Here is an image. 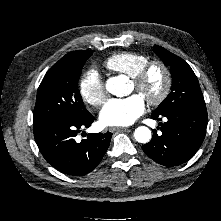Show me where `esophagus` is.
<instances>
[{
	"instance_id": "obj_1",
	"label": "esophagus",
	"mask_w": 221,
	"mask_h": 221,
	"mask_svg": "<svg viewBox=\"0 0 221 221\" xmlns=\"http://www.w3.org/2000/svg\"><path fill=\"white\" fill-rule=\"evenodd\" d=\"M122 129L127 130L128 128H124V127H110L109 131L110 132H115L117 130H122Z\"/></svg>"
}]
</instances>
